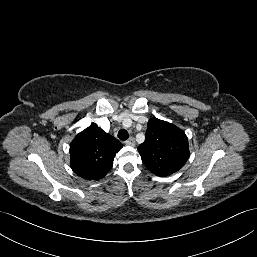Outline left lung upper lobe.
Returning a JSON list of instances; mask_svg holds the SVG:
<instances>
[{
	"label": "left lung upper lobe",
	"instance_id": "obj_1",
	"mask_svg": "<svg viewBox=\"0 0 257 257\" xmlns=\"http://www.w3.org/2000/svg\"><path fill=\"white\" fill-rule=\"evenodd\" d=\"M138 151L146 167L153 174L164 177L181 169L188 160V139L177 126L152 118Z\"/></svg>",
	"mask_w": 257,
	"mask_h": 257
}]
</instances>
